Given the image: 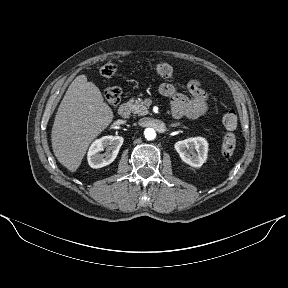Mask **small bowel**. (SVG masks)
I'll return each mask as SVG.
<instances>
[{
  "instance_id": "small-bowel-1",
  "label": "small bowel",
  "mask_w": 288,
  "mask_h": 288,
  "mask_svg": "<svg viewBox=\"0 0 288 288\" xmlns=\"http://www.w3.org/2000/svg\"><path fill=\"white\" fill-rule=\"evenodd\" d=\"M188 90L191 97H186L177 92L171 83H162L159 92L162 96L168 97L171 101L172 114L175 118L187 117L198 118L207 110V92L201 88L199 81L191 80L188 83Z\"/></svg>"
}]
</instances>
